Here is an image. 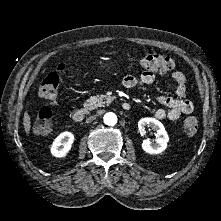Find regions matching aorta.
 Here are the masks:
<instances>
[{
  "label": "aorta",
  "instance_id": "1",
  "mask_svg": "<svg viewBox=\"0 0 221 221\" xmlns=\"http://www.w3.org/2000/svg\"><path fill=\"white\" fill-rule=\"evenodd\" d=\"M104 123L109 126H114L117 123V116L113 112H108L104 115Z\"/></svg>",
  "mask_w": 221,
  "mask_h": 221
}]
</instances>
